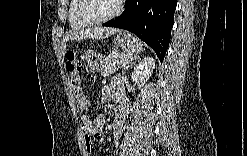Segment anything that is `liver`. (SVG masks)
Instances as JSON below:
<instances>
[{"label": "liver", "instance_id": "1", "mask_svg": "<svg viewBox=\"0 0 247 156\" xmlns=\"http://www.w3.org/2000/svg\"><path fill=\"white\" fill-rule=\"evenodd\" d=\"M120 29L111 27H94L85 30L74 31L66 35L63 41V48L66 50V42L69 40H83V39H104L113 34L119 33Z\"/></svg>", "mask_w": 247, "mask_h": 156}]
</instances>
